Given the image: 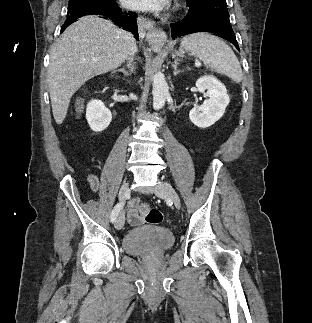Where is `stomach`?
Wrapping results in <instances>:
<instances>
[{
	"instance_id": "stomach-1",
	"label": "stomach",
	"mask_w": 312,
	"mask_h": 323,
	"mask_svg": "<svg viewBox=\"0 0 312 323\" xmlns=\"http://www.w3.org/2000/svg\"><path fill=\"white\" fill-rule=\"evenodd\" d=\"M174 56H179V58H182L183 50H180V52H175Z\"/></svg>"
}]
</instances>
